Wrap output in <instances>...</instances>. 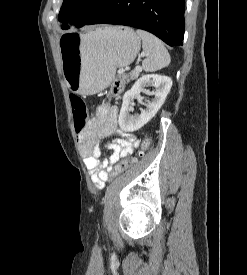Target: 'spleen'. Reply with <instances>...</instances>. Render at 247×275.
Here are the masks:
<instances>
[{
	"instance_id": "spleen-1",
	"label": "spleen",
	"mask_w": 247,
	"mask_h": 275,
	"mask_svg": "<svg viewBox=\"0 0 247 275\" xmlns=\"http://www.w3.org/2000/svg\"><path fill=\"white\" fill-rule=\"evenodd\" d=\"M137 34L142 39V48L146 58L142 62V67L146 72H154L169 65L171 59L163 42L146 31L137 30Z\"/></svg>"
}]
</instances>
